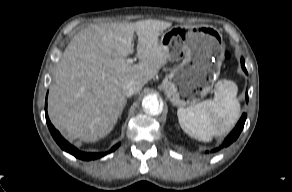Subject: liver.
Segmentation results:
<instances>
[{
  "label": "liver",
  "instance_id": "obj_1",
  "mask_svg": "<svg viewBox=\"0 0 292 192\" xmlns=\"http://www.w3.org/2000/svg\"><path fill=\"white\" fill-rule=\"evenodd\" d=\"M170 22L101 23L78 32L66 47L50 87L48 112L53 125L68 137L94 142L109 134L125 105L123 85L132 82L137 93L169 58L159 44ZM138 36L137 64L127 63Z\"/></svg>",
  "mask_w": 292,
  "mask_h": 192
}]
</instances>
